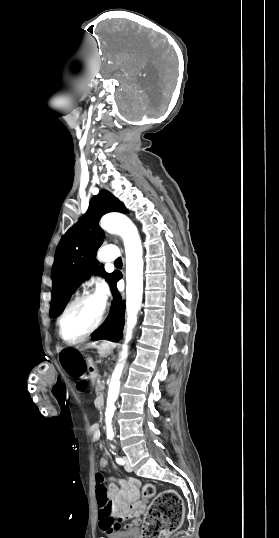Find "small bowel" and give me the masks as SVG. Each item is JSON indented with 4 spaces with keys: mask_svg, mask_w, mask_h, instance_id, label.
Returning <instances> with one entry per match:
<instances>
[{
    "mask_svg": "<svg viewBox=\"0 0 279 538\" xmlns=\"http://www.w3.org/2000/svg\"><path fill=\"white\" fill-rule=\"evenodd\" d=\"M86 382L84 379L77 381L78 390L82 391L85 388ZM92 435L94 440L99 439V428L93 425ZM109 464L106 457L101 458L100 466L105 467ZM111 483L108 485V495L113 502L114 514L111 517H100V528L105 533H110L118 529L133 530L140 524V516L145 510V504L140 498L141 482L135 478L124 480L118 477H110ZM118 483L121 487L119 488ZM129 520L124 523V521Z\"/></svg>",
    "mask_w": 279,
    "mask_h": 538,
    "instance_id": "c3829d8e",
    "label": "small bowel"
}]
</instances>
